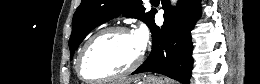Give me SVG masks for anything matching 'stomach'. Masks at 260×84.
<instances>
[{"instance_id": "obj_1", "label": "stomach", "mask_w": 260, "mask_h": 84, "mask_svg": "<svg viewBox=\"0 0 260 84\" xmlns=\"http://www.w3.org/2000/svg\"><path fill=\"white\" fill-rule=\"evenodd\" d=\"M133 84H171V81L164 77L148 75L146 77H142L139 80L134 81Z\"/></svg>"}]
</instances>
